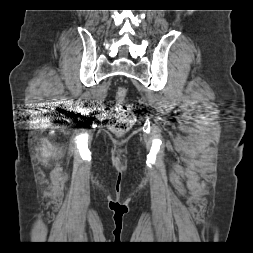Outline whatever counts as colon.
<instances>
[{
  "label": "colon",
  "instance_id": "5ec220e1",
  "mask_svg": "<svg viewBox=\"0 0 253 253\" xmlns=\"http://www.w3.org/2000/svg\"><path fill=\"white\" fill-rule=\"evenodd\" d=\"M126 97V88L119 87L115 94V113L109 121V128L116 136L124 135L135 122L133 107L126 102Z\"/></svg>",
  "mask_w": 253,
  "mask_h": 253
}]
</instances>
